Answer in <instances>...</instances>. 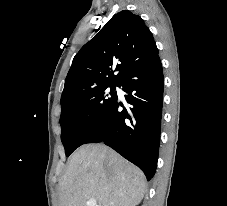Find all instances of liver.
<instances>
[{
	"label": "liver",
	"instance_id": "obj_1",
	"mask_svg": "<svg viewBox=\"0 0 227 206\" xmlns=\"http://www.w3.org/2000/svg\"><path fill=\"white\" fill-rule=\"evenodd\" d=\"M145 192L143 172L103 144L78 148L58 187L59 206H136Z\"/></svg>",
	"mask_w": 227,
	"mask_h": 206
}]
</instances>
